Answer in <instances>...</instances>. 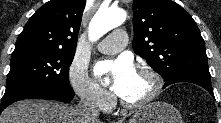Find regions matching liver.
I'll return each instance as SVG.
<instances>
[{"instance_id":"obj_1","label":"liver","mask_w":221,"mask_h":123,"mask_svg":"<svg viewBox=\"0 0 221 123\" xmlns=\"http://www.w3.org/2000/svg\"><path fill=\"white\" fill-rule=\"evenodd\" d=\"M0 123H81V120L75 106L54 101L24 100L6 108L0 115Z\"/></svg>"}]
</instances>
